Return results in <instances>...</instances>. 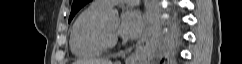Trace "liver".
<instances>
[{"label":"liver","instance_id":"liver-1","mask_svg":"<svg viewBox=\"0 0 242 64\" xmlns=\"http://www.w3.org/2000/svg\"><path fill=\"white\" fill-rule=\"evenodd\" d=\"M74 64H113V63L107 59H86V60L76 61Z\"/></svg>","mask_w":242,"mask_h":64}]
</instances>
